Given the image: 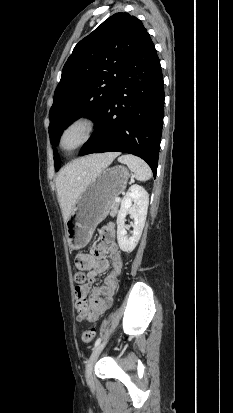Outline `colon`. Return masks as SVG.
I'll list each match as a JSON object with an SVG mask.
<instances>
[{
	"label": "colon",
	"mask_w": 233,
	"mask_h": 413,
	"mask_svg": "<svg viewBox=\"0 0 233 413\" xmlns=\"http://www.w3.org/2000/svg\"><path fill=\"white\" fill-rule=\"evenodd\" d=\"M87 280V275L83 271L79 262H75L74 281L78 287L83 285ZM95 336V329L85 330L82 334V341L86 344L90 343Z\"/></svg>",
	"instance_id": "1"
}]
</instances>
